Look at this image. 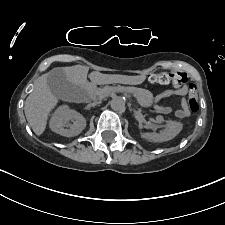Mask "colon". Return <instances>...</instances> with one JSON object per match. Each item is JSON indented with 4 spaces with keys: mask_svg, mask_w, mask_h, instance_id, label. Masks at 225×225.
I'll list each match as a JSON object with an SVG mask.
<instances>
[{
    "mask_svg": "<svg viewBox=\"0 0 225 225\" xmlns=\"http://www.w3.org/2000/svg\"><path fill=\"white\" fill-rule=\"evenodd\" d=\"M148 81L151 84H169L175 87H183L187 83V77L183 73H152L148 76ZM188 106L192 112L199 110V101L196 87L191 85L188 93Z\"/></svg>",
    "mask_w": 225,
    "mask_h": 225,
    "instance_id": "colon-1",
    "label": "colon"
}]
</instances>
